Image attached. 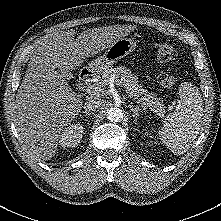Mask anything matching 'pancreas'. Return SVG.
I'll return each mask as SVG.
<instances>
[{"label": "pancreas", "mask_w": 221, "mask_h": 221, "mask_svg": "<svg viewBox=\"0 0 221 221\" xmlns=\"http://www.w3.org/2000/svg\"><path fill=\"white\" fill-rule=\"evenodd\" d=\"M119 79L120 84L124 87L129 96L138 99V102L143 107L150 108L154 113L160 117H164L165 106L160 99L154 98L149 94L143 86L138 83V78L128 68L124 66L111 67L103 73L101 84L107 85L112 76Z\"/></svg>", "instance_id": "obj_1"}]
</instances>
